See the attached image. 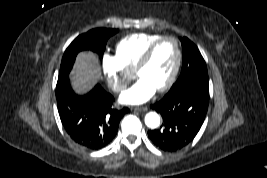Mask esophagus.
Instances as JSON below:
<instances>
[{
  "mask_svg": "<svg viewBox=\"0 0 267 178\" xmlns=\"http://www.w3.org/2000/svg\"><path fill=\"white\" fill-rule=\"evenodd\" d=\"M133 110L134 111H142V112H144V111H147V107H135V108H133Z\"/></svg>",
  "mask_w": 267,
  "mask_h": 178,
  "instance_id": "34e87169",
  "label": "esophagus"
}]
</instances>
